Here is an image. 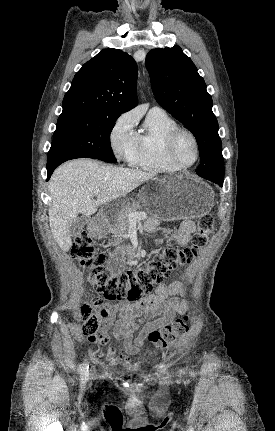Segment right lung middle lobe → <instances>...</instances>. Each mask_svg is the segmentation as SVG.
Masks as SVG:
<instances>
[{
    "instance_id": "dd1d6c3e",
    "label": "right lung middle lobe",
    "mask_w": 275,
    "mask_h": 431,
    "mask_svg": "<svg viewBox=\"0 0 275 431\" xmlns=\"http://www.w3.org/2000/svg\"><path fill=\"white\" fill-rule=\"evenodd\" d=\"M119 116L99 112L61 114L47 160L80 156L116 163L110 133Z\"/></svg>"
}]
</instances>
